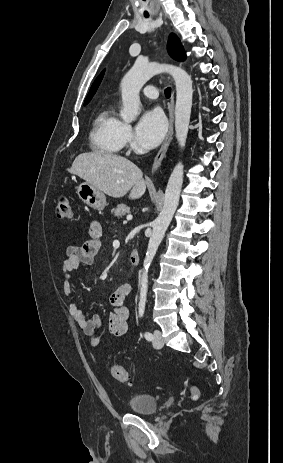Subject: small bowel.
Masks as SVG:
<instances>
[{
	"label": "small bowel",
	"mask_w": 283,
	"mask_h": 463,
	"mask_svg": "<svg viewBox=\"0 0 283 463\" xmlns=\"http://www.w3.org/2000/svg\"><path fill=\"white\" fill-rule=\"evenodd\" d=\"M88 234L89 238L80 246H69L65 250L66 258L62 265L63 292L69 305L70 314L88 337L90 345L97 347L100 344L97 332L102 327V320L97 314L88 316L83 311L72 289V272L80 264L90 266L94 263L95 256L101 246V223L97 220L91 221ZM130 293L131 285L123 283L110 296V303L113 307L108 318V333L110 335L126 336L129 332L130 311L124 302Z\"/></svg>",
	"instance_id": "1"
}]
</instances>
